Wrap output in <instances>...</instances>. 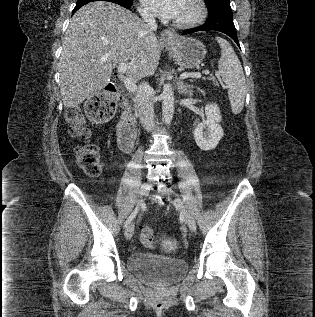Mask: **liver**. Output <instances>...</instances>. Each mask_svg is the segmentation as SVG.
I'll use <instances>...</instances> for the list:
<instances>
[{
    "instance_id": "1",
    "label": "liver",
    "mask_w": 315,
    "mask_h": 317,
    "mask_svg": "<svg viewBox=\"0 0 315 317\" xmlns=\"http://www.w3.org/2000/svg\"><path fill=\"white\" fill-rule=\"evenodd\" d=\"M62 47L60 92L66 108L98 94L122 62L132 81L153 75L161 55L156 35L143 20L104 1L91 2L73 15Z\"/></svg>"
}]
</instances>
